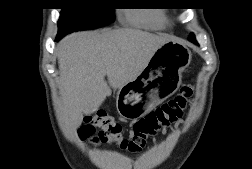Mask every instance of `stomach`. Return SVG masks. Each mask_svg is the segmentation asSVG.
Returning <instances> with one entry per match:
<instances>
[{
  "label": "stomach",
  "instance_id": "stomach-1",
  "mask_svg": "<svg viewBox=\"0 0 252 169\" xmlns=\"http://www.w3.org/2000/svg\"><path fill=\"white\" fill-rule=\"evenodd\" d=\"M191 56L186 46L174 40L162 44L143 71L118 90L116 108L119 115L137 120L173 95L181 85L182 72Z\"/></svg>",
  "mask_w": 252,
  "mask_h": 169
}]
</instances>
